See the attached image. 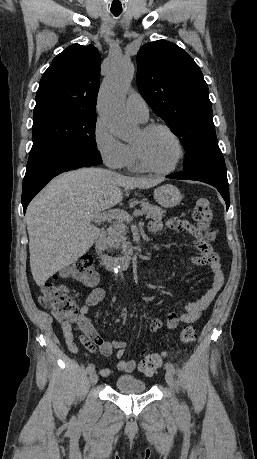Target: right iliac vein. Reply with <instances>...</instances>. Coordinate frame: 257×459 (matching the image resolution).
<instances>
[{"label":"right iliac vein","mask_w":257,"mask_h":459,"mask_svg":"<svg viewBox=\"0 0 257 459\" xmlns=\"http://www.w3.org/2000/svg\"><path fill=\"white\" fill-rule=\"evenodd\" d=\"M98 381V375L95 371H93L91 374H90V384L91 385H94L96 384Z\"/></svg>","instance_id":"63e3f726"}]
</instances>
